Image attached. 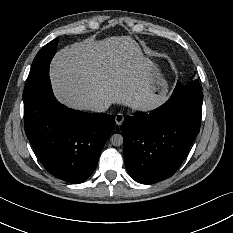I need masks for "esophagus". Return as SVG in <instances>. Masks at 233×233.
I'll list each match as a JSON object with an SVG mask.
<instances>
[{"label": "esophagus", "mask_w": 233, "mask_h": 233, "mask_svg": "<svg viewBox=\"0 0 233 233\" xmlns=\"http://www.w3.org/2000/svg\"><path fill=\"white\" fill-rule=\"evenodd\" d=\"M123 121H124V116H123V114L118 113V114L115 116V122H116V124H117V125H121Z\"/></svg>", "instance_id": "1"}]
</instances>
